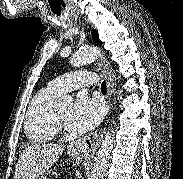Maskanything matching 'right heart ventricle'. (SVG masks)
I'll list each match as a JSON object with an SVG mask.
<instances>
[{
  "label": "right heart ventricle",
  "instance_id": "1",
  "mask_svg": "<svg viewBox=\"0 0 183 179\" xmlns=\"http://www.w3.org/2000/svg\"><path fill=\"white\" fill-rule=\"evenodd\" d=\"M59 95L47 87L33 97L25 121V133L32 141L48 142L56 135L54 101Z\"/></svg>",
  "mask_w": 183,
  "mask_h": 179
}]
</instances>
